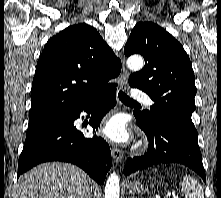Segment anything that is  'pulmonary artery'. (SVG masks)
Wrapping results in <instances>:
<instances>
[{"mask_svg":"<svg viewBox=\"0 0 221 198\" xmlns=\"http://www.w3.org/2000/svg\"><path fill=\"white\" fill-rule=\"evenodd\" d=\"M132 97L134 99L143 101L148 106H151L153 104V101L151 100V98L145 92H143L141 90H137V89L133 90Z\"/></svg>","mask_w":221,"mask_h":198,"instance_id":"1","label":"pulmonary artery"}]
</instances>
